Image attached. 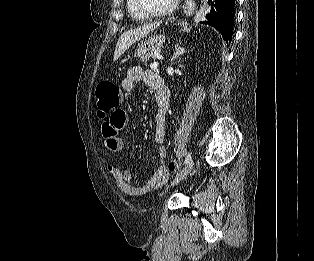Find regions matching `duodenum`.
I'll return each instance as SVG.
<instances>
[{"mask_svg": "<svg viewBox=\"0 0 314 261\" xmlns=\"http://www.w3.org/2000/svg\"><path fill=\"white\" fill-rule=\"evenodd\" d=\"M155 95L160 108L166 110L169 107V91L160 76L155 88Z\"/></svg>", "mask_w": 314, "mask_h": 261, "instance_id": "duodenum-1", "label": "duodenum"}]
</instances>
